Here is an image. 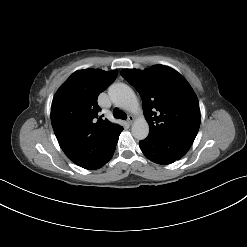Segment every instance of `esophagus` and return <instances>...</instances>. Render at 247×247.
<instances>
[{
  "label": "esophagus",
  "instance_id": "1",
  "mask_svg": "<svg viewBox=\"0 0 247 247\" xmlns=\"http://www.w3.org/2000/svg\"><path fill=\"white\" fill-rule=\"evenodd\" d=\"M127 122H128L129 124H132V123L134 122V117L130 115V116L127 118Z\"/></svg>",
  "mask_w": 247,
  "mask_h": 247
}]
</instances>
